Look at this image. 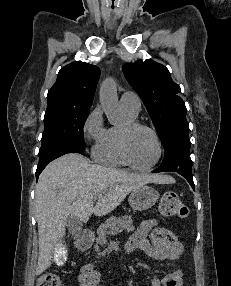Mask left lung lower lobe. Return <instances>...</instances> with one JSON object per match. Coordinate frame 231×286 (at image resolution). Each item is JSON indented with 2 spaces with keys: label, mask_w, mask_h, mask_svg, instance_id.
I'll return each mask as SVG.
<instances>
[{
  "label": "left lung lower lobe",
  "mask_w": 231,
  "mask_h": 286,
  "mask_svg": "<svg viewBox=\"0 0 231 286\" xmlns=\"http://www.w3.org/2000/svg\"><path fill=\"white\" fill-rule=\"evenodd\" d=\"M190 145L191 143L188 134H180L172 137L164 145L166 150L162 165L153 172H177L185 177L194 189Z\"/></svg>",
  "instance_id": "left-lung-lower-lobe-1"
}]
</instances>
